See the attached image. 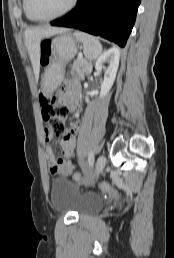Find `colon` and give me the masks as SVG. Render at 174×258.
<instances>
[{"label":"colon","instance_id":"colon-1","mask_svg":"<svg viewBox=\"0 0 174 258\" xmlns=\"http://www.w3.org/2000/svg\"><path fill=\"white\" fill-rule=\"evenodd\" d=\"M42 49V62L48 61L50 54V42L44 41L41 45ZM40 103L42 106V116L46 123V127L55 136H61L65 134L66 130V118L68 116V108L62 105L56 96L46 97L40 95ZM72 180L76 183H83L86 181L85 175L81 173H73ZM101 191L111 198H118L117 191L112 188L108 183L101 182L99 184Z\"/></svg>","mask_w":174,"mask_h":258}]
</instances>
